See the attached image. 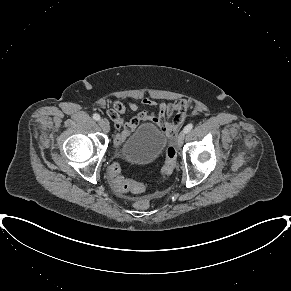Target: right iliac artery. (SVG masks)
I'll return each instance as SVG.
<instances>
[{
    "instance_id": "82829eb1",
    "label": "right iliac artery",
    "mask_w": 291,
    "mask_h": 291,
    "mask_svg": "<svg viewBox=\"0 0 291 291\" xmlns=\"http://www.w3.org/2000/svg\"><path fill=\"white\" fill-rule=\"evenodd\" d=\"M93 119L96 120V121H99L100 120V115L95 113L93 114Z\"/></svg>"
}]
</instances>
